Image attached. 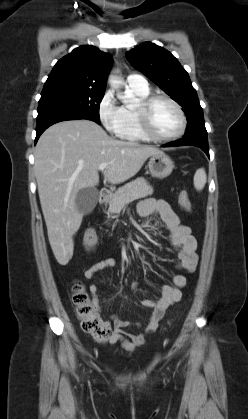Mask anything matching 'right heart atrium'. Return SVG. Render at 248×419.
Returning <instances> with one entry per match:
<instances>
[{
    "instance_id": "1",
    "label": "right heart atrium",
    "mask_w": 248,
    "mask_h": 419,
    "mask_svg": "<svg viewBox=\"0 0 248 419\" xmlns=\"http://www.w3.org/2000/svg\"><path fill=\"white\" fill-rule=\"evenodd\" d=\"M98 116L108 132L120 136L124 125V110L111 90L103 94L98 105Z\"/></svg>"
}]
</instances>
